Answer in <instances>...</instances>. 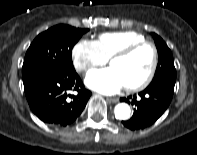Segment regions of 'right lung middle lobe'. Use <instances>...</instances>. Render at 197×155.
<instances>
[{"instance_id": "obj_1", "label": "right lung middle lobe", "mask_w": 197, "mask_h": 155, "mask_svg": "<svg viewBox=\"0 0 197 155\" xmlns=\"http://www.w3.org/2000/svg\"><path fill=\"white\" fill-rule=\"evenodd\" d=\"M87 31L68 25H56L39 34L25 55L22 67L24 89L48 76L75 71L72 48Z\"/></svg>"}]
</instances>
